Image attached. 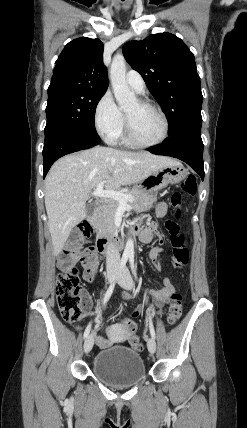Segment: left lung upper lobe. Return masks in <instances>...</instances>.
Wrapping results in <instances>:
<instances>
[{
	"label": "left lung upper lobe",
	"instance_id": "1",
	"mask_svg": "<svg viewBox=\"0 0 247 428\" xmlns=\"http://www.w3.org/2000/svg\"><path fill=\"white\" fill-rule=\"evenodd\" d=\"M123 54L143 77L149 91L166 114L170 136L201 127L203 96L193 53L170 33L129 41Z\"/></svg>",
	"mask_w": 247,
	"mask_h": 428
}]
</instances>
